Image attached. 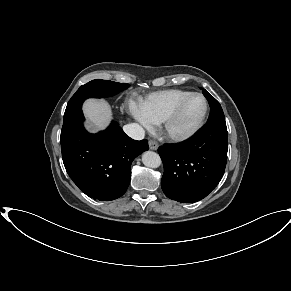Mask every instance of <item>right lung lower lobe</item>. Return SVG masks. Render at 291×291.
<instances>
[{
  "instance_id": "1",
  "label": "right lung lower lobe",
  "mask_w": 291,
  "mask_h": 291,
  "mask_svg": "<svg viewBox=\"0 0 291 291\" xmlns=\"http://www.w3.org/2000/svg\"><path fill=\"white\" fill-rule=\"evenodd\" d=\"M84 116L64 119L61 151L66 171L87 196L100 201L119 198L131 179V163L149 149L146 139L128 137L118 123L104 131L90 134L83 127Z\"/></svg>"
}]
</instances>
